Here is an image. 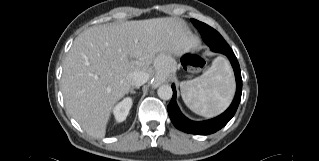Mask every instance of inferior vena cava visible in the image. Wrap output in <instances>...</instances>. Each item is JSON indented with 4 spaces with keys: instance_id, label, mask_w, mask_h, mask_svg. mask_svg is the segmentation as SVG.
Segmentation results:
<instances>
[{
    "instance_id": "602c4592",
    "label": "inferior vena cava",
    "mask_w": 319,
    "mask_h": 161,
    "mask_svg": "<svg viewBox=\"0 0 319 161\" xmlns=\"http://www.w3.org/2000/svg\"><path fill=\"white\" fill-rule=\"evenodd\" d=\"M129 78L132 86L139 87L148 81L149 75L144 71H134L129 74Z\"/></svg>"
}]
</instances>
